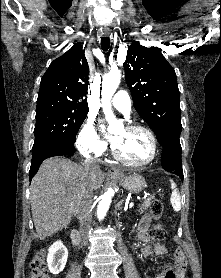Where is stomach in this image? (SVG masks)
<instances>
[{"label":"stomach","instance_id":"1","mask_svg":"<svg viewBox=\"0 0 221 278\" xmlns=\"http://www.w3.org/2000/svg\"><path fill=\"white\" fill-rule=\"evenodd\" d=\"M114 179L118 181L124 189L134 194L140 193L146 186L145 179L138 174L130 176L122 174L120 176L114 177Z\"/></svg>","mask_w":221,"mask_h":278}]
</instances>
